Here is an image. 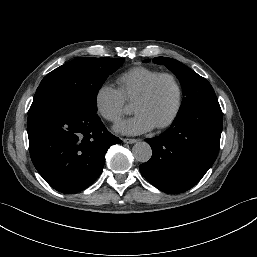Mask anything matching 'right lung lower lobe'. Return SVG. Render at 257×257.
<instances>
[{"label":"right lung lower lobe","mask_w":257,"mask_h":257,"mask_svg":"<svg viewBox=\"0 0 257 257\" xmlns=\"http://www.w3.org/2000/svg\"><path fill=\"white\" fill-rule=\"evenodd\" d=\"M28 138L31 160L57 191L76 193L101 174L105 154L121 143L97 114L71 107L30 108Z\"/></svg>","instance_id":"1"}]
</instances>
